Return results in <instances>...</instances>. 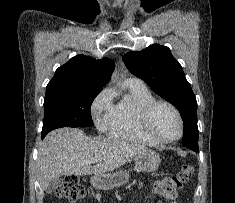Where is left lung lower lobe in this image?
I'll list each match as a JSON object with an SVG mask.
<instances>
[{
    "label": "left lung lower lobe",
    "instance_id": "1",
    "mask_svg": "<svg viewBox=\"0 0 235 203\" xmlns=\"http://www.w3.org/2000/svg\"><path fill=\"white\" fill-rule=\"evenodd\" d=\"M192 140H193L192 132H191L190 130H184V132H183V141H182V144H183L185 147L193 148ZM195 151L198 152L199 149H195Z\"/></svg>",
    "mask_w": 235,
    "mask_h": 203
}]
</instances>
